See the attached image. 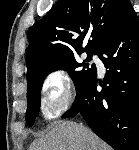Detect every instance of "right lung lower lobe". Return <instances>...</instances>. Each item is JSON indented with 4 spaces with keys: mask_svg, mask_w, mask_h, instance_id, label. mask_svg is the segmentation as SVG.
I'll return each instance as SVG.
<instances>
[{
    "mask_svg": "<svg viewBox=\"0 0 139 150\" xmlns=\"http://www.w3.org/2000/svg\"><path fill=\"white\" fill-rule=\"evenodd\" d=\"M106 70L104 83L97 69L76 88V99L62 117L81 114L114 150L139 149V19L131 10L96 51ZM102 90L97 89V84Z\"/></svg>",
    "mask_w": 139,
    "mask_h": 150,
    "instance_id": "1",
    "label": "right lung lower lobe"
}]
</instances>
